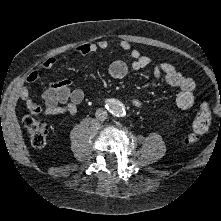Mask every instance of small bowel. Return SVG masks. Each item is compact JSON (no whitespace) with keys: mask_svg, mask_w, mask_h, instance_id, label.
<instances>
[{"mask_svg":"<svg viewBox=\"0 0 221 221\" xmlns=\"http://www.w3.org/2000/svg\"><path fill=\"white\" fill-rule=\"evenodd\" d=\"M118 45L125 51H128L132 59L131 67L134 70H141L150 64V58L140 53V51L124 39L118 40ZM109 44L102 39L93 43H83L76 47L75 51L83 56H87L97 52L98 50H106ZM58 62L55 57L46 59L43 67L46 69L53 68ZM110 75L115 79H122L128 73V65L123 61H115L110 65ZM154 77L163 79L171 87L177 88L176 105L180 109H188L194 104V92L196 89L195 82L180 73L173 65L169 63H159L154 67ZM40 74L31 73L27 81L34 82L38 80ZM84 94L82 90L73 88L72 81L65 79L59 82L50 83L48 88L42 93L41 99L44 108L33 101L26 86L20 90V99L26 104L28 110L32 114H38L43 111L44 115L52 116L59 114H68L73 116L78 111V106L83 101ZM131 103L140 108L142 103L139 99L133 98Z\"/></svg>","mask_w":221,"mask_h":221,"instance_id":"small-bowel-1","label":"small bowel"}]
</instances>
